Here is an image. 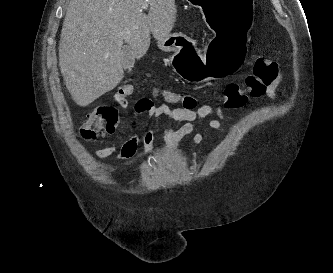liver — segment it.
Returning <instances> with one entry per match:
<instances>
[{"mask_svg": "<svg viewBox=\"0 0 333 273\" xmlns=\"http://www.w3.org/2000/svg\"><path fill=\"white\" fill-rule=\"evenodd\" d=\"M71 0L59 43V66L73 100L85 107L114 89L124 77L123 40L134 58L170 34L176 20L175 0Z\"/></svg>", "mask_w": 333, "mask_h": 273, "instance_id": "obj_1", "label": "liver"}]
</instances>
